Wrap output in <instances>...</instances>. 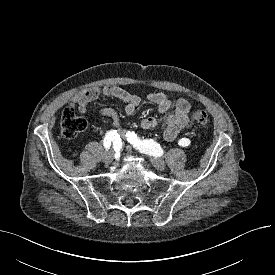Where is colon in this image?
<instances>
[{
	"instance_id": "colon-1",
	"label": "colon",
	"mask_w": 275,
	"mask_h": 275,
	"mask_svg": "<svg viewBox=\"0 0 275 275\" xmlns=\"http://www.w3.org/2000/svg\"><path fill=\"white\" fill-rule=\"evenodd\" d=\"M192 119L199 126L208 125L210 119L205 110L199 109L192 113ZM61 131L66 139H74L87 127V122L84 118L75 114L74 110L67 108L61 116Z\"/></svg>"
}]
</instances>
